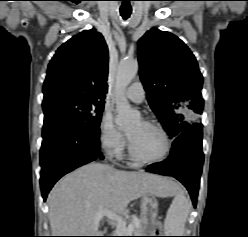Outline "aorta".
<instances>
[{
	"label": "aorta",
	"instance_id": "aorta-1",
	"mask_svg": "<svg viewBox=\"0 0 248 237\" xmlns=\"http://www.w3.org/2000/svg\"><path fill=\"white\" fill-rule=\"evenodd\" d=\"M138 61L136 59L122 60L119 64L116 75L115 104H116V124L125 128L135 123L140 114L133 110L125 96V90L138 72Z\"/></svg>",
	"mask_w": 248,
	"mask_h": 237
}]
</instances>
